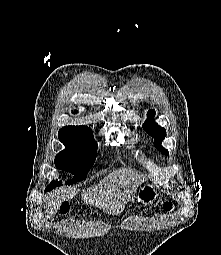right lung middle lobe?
I'll return each instance as SVG.
<instances>
[{
    "label": "right lung middle lobe",
    "mask_w": 221,
    "mask_h": 255,
    "mask_svg": "<svg viewBox=\"0 0 221 255\" xmlns=\"http://www.w3.org/2000/svg\"><path fill=\"white\" fill-rule=\"evenodd\" d=\"M58 138L66 148L57 154L55 165L58 169L75 175L73 179L66 181V184L84 180L97 154V144L92 132L60 129ZM60 185L62 181H52L47 188L52 190Z\"/></svg>",
    "instance_id": "dd1d6c3e"
}]
</instances>
